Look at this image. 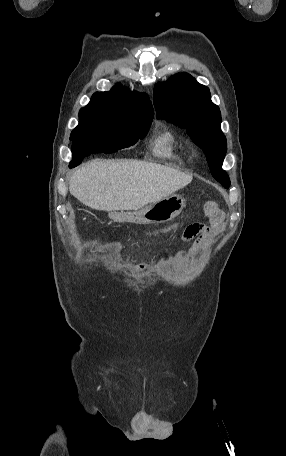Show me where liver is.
<instances>
[{"label":"liver","instance_id":"liver-1","mask_svg":"<svg viewBox=\"0 0 286 456\" xmlns=\"http://www.w3.org/2000/svg\"><path fill=\"white\" fill-rule=\"evenodd\" d=\"M189 173L137 160H93L73 173L71 195L96 210H137L182 189Z\"/></svg>","mask_w":286,"mask_h":456}]
</instances>
